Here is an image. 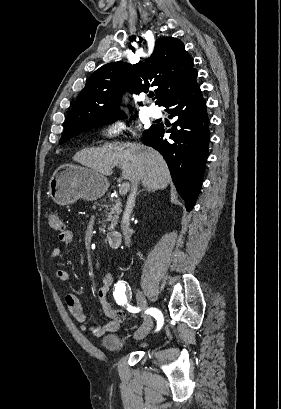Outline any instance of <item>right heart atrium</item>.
<instances>
[{"mask_svg":"<svg viewBox=\"0 0 281 409\" xmlns=\"http://www.w3.org/2000/svg\"><path fill=\"white\" fill-rule=\"evenodd\" d=\"M127 130H131V125L125 117L120 116L105 125L102 128L100 135L103 139H111L119 136L122 132Z\"/></svg>","mask_w":281,"mask_h":409,"instance_id":"obj_1","label":"right heart atrium"}]
</instances>
